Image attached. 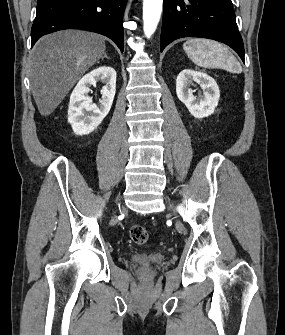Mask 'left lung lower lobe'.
Here are the masks:
<instances>
[{"mask_svg": "<svg viewBox=\"0 0 285 335\" xmlns=\"http://www.w3.org/2000/svg\"><path fill=\"white\" fill-rule=\"evenodd\" d=\"M161 52L182 37L213 39L234 49L244 62V45L231 0H164Z\"/></svg>", "mask_w": 285, "mask_h": 335, "instance_id": "obj_1", "label": "left lung lower lobe"}]
</instances>
